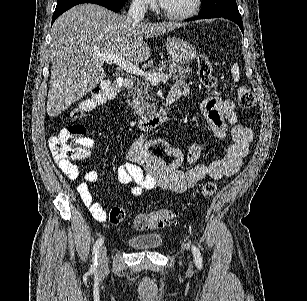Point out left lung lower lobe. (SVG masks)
<instances>
[{
	"label": "left lung lower lobe",
	"mask_w": 307,
	"mask_h": 301,
	"mask_svg": "<svg viewBox=\"0 0 307 301\" xmlns=\"http://www.w3.org/2000/svg\"><path fill=\"white\" fill-rule=\"evenodd\" d=\"M216 17H222V18H226V19L232 20L233 22H235V23L240 27L241 31L244 33V31H243V22H242V18H241V17L215 16V15H211V16H202V15H199L198 17L192 18V19H189V20L210 19V18H216ZM189 20H188V21H189Z\"/></svg>",
	"instance_id": "left-lung-lower-lobe-1"
}]
</instances>
